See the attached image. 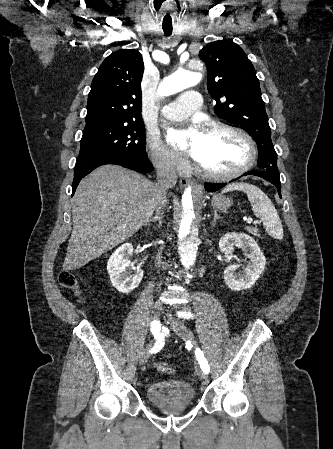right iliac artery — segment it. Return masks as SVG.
<instances>
[{"label": "right iliac artery", "instance_id": "82829eb1", "mask_svg": "<svg viewBox=\"0 0 333 449\" xmlns=\"http://www.w3.org/2000/svg\"><path fill=\"white\" fill-rule=\"evenodd\" d=\"M160 323L158 322H152L151 324V331L154 335V338H156V342L153 346V348L151 349V353H157L159 350L162 349L164 343H163V338L160 334Z\"/></svg>", "mask_w": 333, "mask_h": 449}]
</instances>
